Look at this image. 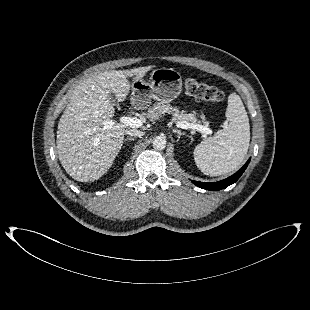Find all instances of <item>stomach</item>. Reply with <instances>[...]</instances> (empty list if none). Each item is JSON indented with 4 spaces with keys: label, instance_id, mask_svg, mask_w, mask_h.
Listing matches in <instances>:
<instances>
[{
    "label": "stomach",
    "instance_id": "0dacf381",
    "mask_svg": "<svg viewBox=\"0 0 310 310\" xmlns=\"http://www.w3.org/2000/svg\"><path fill=\"white\" fill-rule=\"evenodd\" d=\"M132 102L138 108H146L151 99L169 103L182 91L181 74L173 68H157L152 71L149 81L135 78L131 84Z\"/></svg>",
    "mask_w": 310,
    "mask_h": 310
}]
</instances>
